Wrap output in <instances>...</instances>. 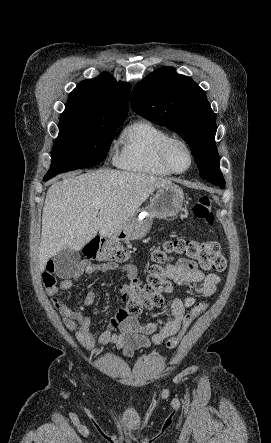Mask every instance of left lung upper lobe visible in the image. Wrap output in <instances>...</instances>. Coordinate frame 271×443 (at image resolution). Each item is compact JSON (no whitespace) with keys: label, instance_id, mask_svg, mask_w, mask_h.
Wrapping results in <instances>:
<instances>
[{"label":"left lung upper lobe","instance_id":"5c2ea615","mask_svg":"<svg viewBox=\"0 0 271 443\" xmlns=\"http://www.w3.org/2000/svg\"><path fill=\"white\" fill-rule=\"evenodd\" d=\"M130 101L136 113L182 136L201 178L225 187L215 144V114L197 83L173 67H162L136 84Z\"/></svg>","mask_w":271,"mask_h":443}]
</instances>
